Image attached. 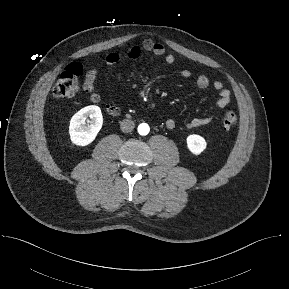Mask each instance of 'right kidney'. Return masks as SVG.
I'll list each match as a JSON object with an SVG mask.
<instances>
[{
  "instance_id": "ca27d5eb",
  "label": "right kidney",
  "mask_w": 289,
  "mask_h": 289,
  "mask_svg": "<svg viewBox=\"0 0 289 289\" xmlns=\"http://www.w3.org/2000/svg\"><path fill=\"white\" fill-rule=\"evenodd\" d=\"M102 124L103 117L98 106L91 105L82 108L73 115L70 121L69 134L72 143L77 146L89 145L96 138Z\"/></svg>"
}]
</instances>
